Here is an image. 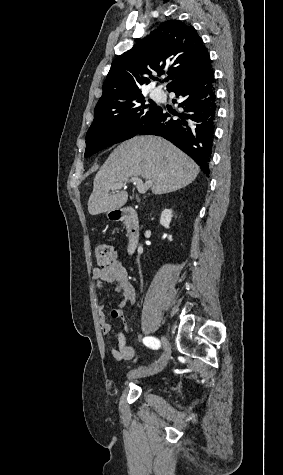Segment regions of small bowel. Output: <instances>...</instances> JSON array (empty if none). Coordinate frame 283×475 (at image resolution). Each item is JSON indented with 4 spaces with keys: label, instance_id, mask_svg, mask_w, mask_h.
<instances>
[{
    "label": "small bowel",
    "instance_id": "c3829d8e",
    "mask_svg": "<svg viewBox=\"0 0 283 475\" xmlns=\"http://www.w3.org/2000/svg\"><path fill=\"white\" fill-rule=\"evenodd\" d=\"M97 287L102 288L104 284H111L116 293L120 295L118 308L112 311L110 322L107 319L105 305H98V321L102 334L108 335L112 331V326H121L123 324L122 308L127 304L135 302V291L129 280L127 270L119 262L115 261L109 265L93 267L91 271ZM116 343L110 349L112 357L116 361H125L134 358V352L127 344L126 336L121 331L115 332Z\"/></svg>",
    "mask_w": 283,
    "mask_h": 475
}]
</instances>
